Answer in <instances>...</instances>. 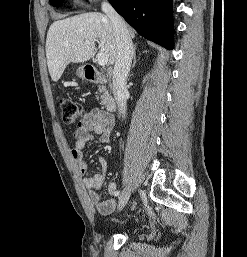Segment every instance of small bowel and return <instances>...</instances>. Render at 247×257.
<instances>
[{
	"mask_svg": "<svg viewBox=\"0 0 247 257\" xmlns=\"http://www.w3.org/2000/svg\"><path fill=\"white\" fill-rule=\"evenodd\" d=\"M114 126L115 121L111 115L100 109L90 110L79 122L77 129L74 131L76 142L71 151L78 171L84 177L85 186L89 190L90 200L102 215L111 214L116 207V200L114 198L101 200L98 194V191L106 179L108 163L104 157H100L99 164L101 171L92 176H88V164L85 160L83 150L91 143L94 135H99L102 143H109ZM117 192V185L110 183L108 185V193L116 197Z\"/></svg>",
	"mask_w": 247,
	"mask_h": 257,
	"instance_id": "1",
	"label": "small bowel"
}]
</instances>
